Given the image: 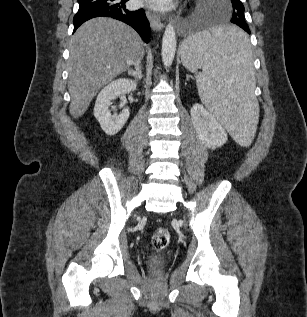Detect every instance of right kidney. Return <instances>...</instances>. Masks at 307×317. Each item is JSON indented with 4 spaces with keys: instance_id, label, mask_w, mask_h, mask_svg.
<instances>
[{
    "instance_id": "1",
    "label": "right kidney",
    "mask_w": 307,
    "mask_h": 317,
    "mask_svg": "<svg viewBox=\"0 0 307 317\" xmlns=\"http://www.w3.org/2000/svg\"><path fill=\"white\" fill-rule=\"evenodd\" d=\"M136 88L137 85L131 80L120 78L106 85L98 94L94 107V116L107 135L111 136L118 133L130 115L128 109H123L119 115L112 116L109 109L112 101L117 97L135 91Z\"/></svg>"
}]
</instances>
